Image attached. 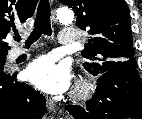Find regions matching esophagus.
<instances>
[{
	"mask_svg": "<svg viewBox=\"0 0 142 119\" xmlns=\"http://www.w3.org/2000/svg\"><path fill=\"white\" fill-rule=\"evenodd\" d=\"M52 2V0H51ZM47 108L50 112H55V103L51 98H46Z\"/></svg>",
	"mask_w": 142,
	"mask_h": 119,
	"instance_id": "obj_1",
	"label": "esophagus"
}]
</instances>
